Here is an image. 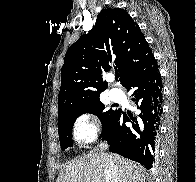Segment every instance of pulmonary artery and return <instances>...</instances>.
<instances>
[{
    "label": "pulmonary artery",
    "instance_id": "obj_1",
    "mask_svg": "<svg viewBox=\"0 0 196 182\" xmlns=\"http://www.w3.org/2000/svg\"><path fill=\"white\" fill-rule=\"evenodd\" d=\"M109 94L114 101H119L122 98V91L118 88H111Z\"/></svg>",
    "mask_w": 196,
    "mask_h": 182
}]
</instances>
